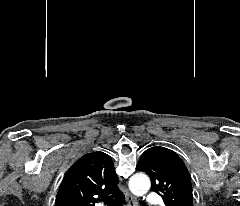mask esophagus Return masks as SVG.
<instances>
[{"mask_svg":"<svg viewBox=\"0 0 240 206\" xmlns=\"http://www.w3.org/2000/svg\"><path fill=\"white\" fill-rule=\"evenodd\" d=\"M125 199L127 206H138L137 198L132 195L129 191L125 193Z\"/></svg>","mask_w":240,"mask_h":206,"instance_id":"1","label":"esophagus"}]
</instances>
